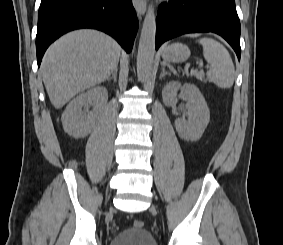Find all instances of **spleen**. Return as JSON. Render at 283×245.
Returning <instances> with one entry per match:
<instances>
[{
  "mask_svg": "<svg viewBox=\"0 0 283 245\" xmlns=\"http://www.w3.org/2000/svg\"><path fill=\"white\" fill-rule=\"evenodd\" d=\"M198 42L203 47V56L210 64L206 75L209 80L220 88H230L235 79V68L227 49L212 38H201Z\"/></svg>",
  "mask_w": 283,
  "mask_h": 245,
  "instance_id": "1",
  "label": "spleen"
}]
</instances>
